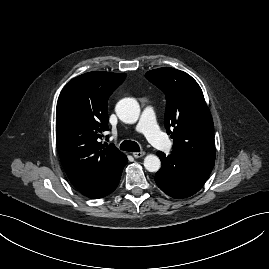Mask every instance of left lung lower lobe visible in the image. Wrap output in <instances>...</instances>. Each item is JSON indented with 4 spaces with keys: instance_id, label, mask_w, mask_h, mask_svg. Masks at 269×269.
<instances>
[{
    "instance_id": "obj_1",
    "label": "left lung lower lobe",
    "mask_w": 269,
    "mask_h": 269,
    "mask_svg": "<svg viewBox=\"0 0 269 269\" xmlns=\"http://www.w3.org/2000/svg\"><path fill=\"white\" fill-rule=\"evenodd\" d=\"M162 167L155 175L157 186L167 195L181 199L198 192L208 179L215 160L178 150L166 156L158 151Z\"/></svg>"
}]
</instances>
